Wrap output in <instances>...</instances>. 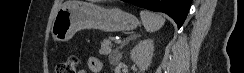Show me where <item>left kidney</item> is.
Masks as SVG:
<instances>
[{
    "instance_id": "5707ae66",
    "label": "left kidney",
    "mask_w": 244,
    "mask_h": 73,
    "mask_svg": "<svg viewBox=\"0 0 244 73\" xmlns=\"http://www.w3.org/2000/svg\"><path fill=\"white\" fill-rule=\"evenodd\" d=\"M154 52V41L145 39L140 41L131 51L130 58L137 65L140 72H144L151 64Z\"/></svg>"
}]
</instances>
